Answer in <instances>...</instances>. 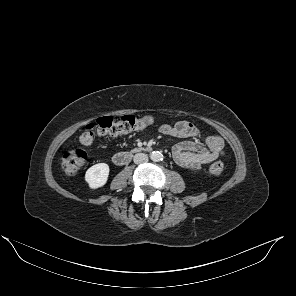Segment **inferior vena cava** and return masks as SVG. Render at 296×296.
Listing matches in <instances>:
<instances>
[{
	"label": "inferior vena cava",
	"mask_w": 296,
	"mask_h": 296,
	"mask_svg": "<svg viewBox=\"0 0 296 296\" xmlns=\"http://www.w3.org/2000/svg\"><path fill=\"white\" fill-rule=\"evenodd\" d=\"M134 163L135 164H143L148 162V156L144 153H137L134 156Z\"/></svg>",
	"instance_id": "inferior-vena-cava-1"
}]
</instances>
